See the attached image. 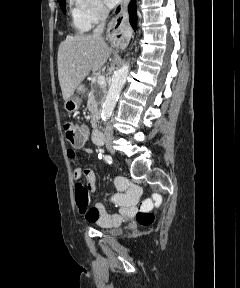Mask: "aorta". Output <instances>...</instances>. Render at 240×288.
<instances>
[{"label": "aorta", "instance_id": "1", "mask_svg": "<svg viewBox=\"0 0 240 288\" xmlns=\"http://www.w3.org/2000/svg\"><path fill=\"white\" fill-rule=\"evenodd\" d=\"M128 72H129V62H126L120 69H118L114 73L112 77V83L108 90L106 100L103 104L101 111V119L104 122L108 121L113 113L121 89L126 82Z\"/></svg>", "mask_w": 240, "mask_h": 288}]
</instances>
